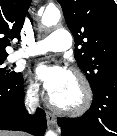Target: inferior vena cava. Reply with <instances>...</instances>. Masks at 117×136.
I'll list each match as a JSON object with an SVG mask.
<instances>
[{
  "label": "inferior vena cava",
  "instance_id": "obj_1",
  "mask_svg": "<svg viewBox=\"0 0 117 136\" xmlns=\"http://www.w3.org/2000/svg\"><path fill=\"white\" fill-rule=\"evenodd\" d=\"M31 96L32 97H31L30 102L28 104V111L34 112L36 109L37 101H38L37 91L36 90L33 91Z\"/></svg>",
  "mask_w": 117,
  "mask_h": 136
}]
</instances>
